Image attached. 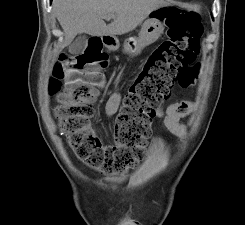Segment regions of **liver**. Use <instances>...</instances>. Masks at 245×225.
Here are the masks:
<instances>
[{"mask_svg": "<svg viewBox=\"0 0 245 225\" xmlns=\"http://www.w3.org/2000/svg\"><path fill=\"white\" fill-rule=\"evenodd\" d=\"M166 5L165 0H54L53 11L64 32L62 47H66L81 33L92 36L128 33L153 10ZM108 14H114L115 19L106 25L103 19Z\"/></svg>", "mask_w": 245, "mask_h": 225, "instance_id": "1", "label": "liver"}]
</instances>
